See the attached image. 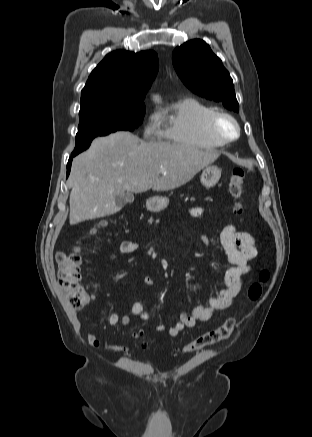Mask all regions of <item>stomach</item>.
<instances>
[{
  "label": "stomach",
  "instance_id": "obj_1",
  "mask_svg": "<svg viewBox=\"0 0 312 437\" xmlns=\"http://www.w3.org/2000/svg\"><path fill=\"white\" fill-rule=\"evenodd\" d=\"M221 177V169L215 165L206 166L200 176L201 183L206 188L214 187ZM169 205V199L163 196H154L147 200L146 206L152 212H161Z\"/></svg>",
  "mask_w": 312,
  "mask_h": 437
}]
</instances>
